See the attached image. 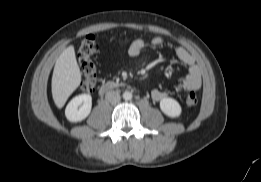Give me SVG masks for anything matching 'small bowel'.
<instances>
[{
    "label": "small bowel",
    "instance_id": "c3829d8e",
    "mask_svg": "<svg viewBox=\"0 0 261 182\" xmlns=\"http://www.w3.org/2000/svg\"><path fill=\"white\" fill-rule=\"evenodd\" d=\"M167 41L163 37H153L149 40L138 38L134 40L128 49V53L131 57H137L140 55L142 50L148 46H163L166 45ZM175 55L177 59L187 66L188 72L184 80L180 85L177 86V92H196L200 90L202 86L201 70L197 65L194 57L183 47L175 48ZM151 96L155 101H161L169 96L167 91L154 89L151 92Z\"/></svg>",
    "mask_w": 261,
    "mask_h": 182
}]
</instances>
